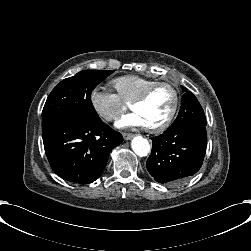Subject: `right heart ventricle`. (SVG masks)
<instances>
[{"label":"right heart ventricle","mask_w":251,"mask_h":251,"mask_svg":"<svg viewBox=\"0 0 251 251\" xmlns=\"http://www.w3.org/2000/svg\"><path fill=\"white\" fill-rule=\"evenodd\" d=\"M153 82L148 76L130 74L113 79L111 84L122 101L131 103Z\"/></svg>","instance_id":"obj_1"}]
</instances>
